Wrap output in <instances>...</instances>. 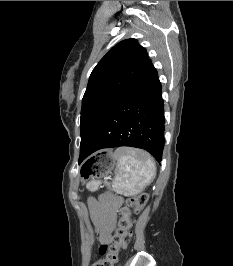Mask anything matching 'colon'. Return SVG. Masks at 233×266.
Here are the masks:
<instances>
[{
	"label": "colon",
	"instance_id": "1",
	"mask_svg": "<svg viewBox=\"0 0 233 266\" xmlns=\"http://www.w3.org/2000/svg\"><path fill=\"white\" fill-rule=\"evenodd\" d=\"M147 202V195L142 193L128 198L121 209L116 232L108 245L100 248L101 258L93 266H114L119 254L128 247L132 236L133 217Z\"/></svg>",
	"mask_w": 233,
	"mask_h": 266
}]
</instances>
